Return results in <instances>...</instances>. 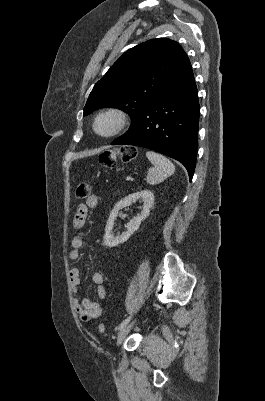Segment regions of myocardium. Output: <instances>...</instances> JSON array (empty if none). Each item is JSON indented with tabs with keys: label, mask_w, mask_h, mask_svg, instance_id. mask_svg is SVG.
Masks as SVG:
<instances>
[{
	"label": "myocardium",
	"mask_w": 265,
	"mask_h": 401,
	"mask_svg": "<svg viewBox=\"0 0 265 401\" xmlns=\"http://www.w3.org/2000/svg\"><path fill=\"white\" fill-rule=\"evenodd\" d=\"M103 117H111L115 121L114 128L112 129L111 132H109L107 134H101L97 129V124H98L99 120ZM126 122H127V113L123 109L118 108V107H109L107 109H104L103 111H101L100 113H98L96 115V117L93 120L92 128H93L94 134L97 137L111 138L113 136H116L123 130Z\"/></svg>",
	"instance_id": "1"
}]
</instances>
